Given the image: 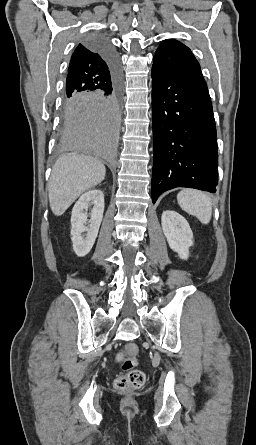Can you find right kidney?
Listing matches in <instances>:
<instances>
[{"label": "right kidney", "mask_w": 256, "mask_h": 445, "mask_svg": "<svg viewBox=\"0 0 256 445\" xmlns=\"http://www.w3.org/2000/svg\"><path fill=\"white\" fill-rule=\"evenodd\" d=\"M90 205H93V208L88 220L87 208ZM103 212L104 195L97 189L82 194L74 205L71 215V240L77 256L84 257L92 249L102 222ZM87 222H89L88 227ZM84 232H86L85 235Z\"/></svg>", "instance_id": "1"}]
</instances>
